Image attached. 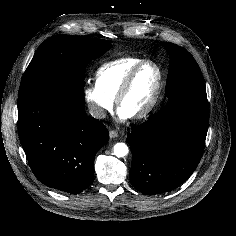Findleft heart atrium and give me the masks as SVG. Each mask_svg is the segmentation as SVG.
<instances>
[{
    "label": "left heart atrium",
    "mask_w": 236,
    "mask_h": 236,
    "mask_svg": "<svg viewBox=\"0 0 236 236\" xmlns=\"http://www.w3.org/2000/svg\"><path fill=\"white\" fill-rule=\"evenodd\" d=\"M118 117L121 121H125L129 116H127L123 111L119 109L118 111Z\"/></svg>",
    "instance_id": "obj_1"
}]
</instances>
